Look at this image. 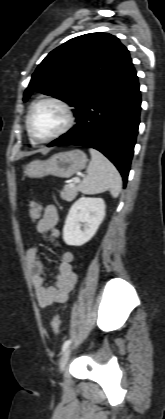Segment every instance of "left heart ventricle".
Returning <instances> with one entry per match:
<instances>
[{
    "instance_id": "b2bd125f",
    "label": "left heart ventricle",
    "mask_w": 165,
    "mask_h": 419,
    "mask_svg": "<svg viewBox=\"0 0 165 419\" xmlns=\"http://www.w3.org/2000/svg\"><path fill=\"white\" fill-rule=\"evenodd\" d=\"M65 122V115L60 107L52 103L38 105L31 117V126L39 138H47L57 132Z\"/></svg>"
}]
</instances>
